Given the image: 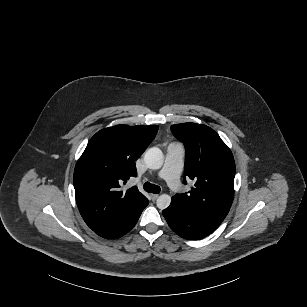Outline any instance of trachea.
<instances>
[{
  "label": "trachea",
  "instance_id": "trachea-1",
  "mask_svg": "<svg viewBox=\"0 0 307 307\" xmlns=\"http://www.w3.org/2000/svg\"><path fill=\"white\" fill-rule=\"evenodd\" d=\"M144 190L148 193L158 194L160 193V187L158 185L146 182L144 183Z\"/></svg>",
  "mask_w": 307,
  "mask_h": 307
}]
</instances>
